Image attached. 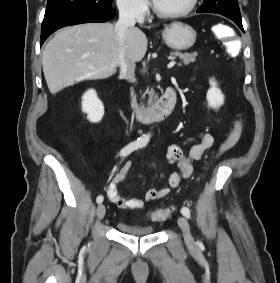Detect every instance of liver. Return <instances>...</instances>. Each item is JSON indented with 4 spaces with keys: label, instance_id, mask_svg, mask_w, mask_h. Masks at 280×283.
Masks as SVG:
<instances>
[{
    "label": "liver",
    "instance_id": "obj_1",
    "mask_svg": "<svg viewBox=\"0 0 280 283\" xmlns=\"http://www.w3.org/2000/svg\"><path fill=\"white\" fill-rule=\"evenodd\" d=\"M147 37L137 27L126 35L124 52L130 62H140ZM118 41L111 23H87L60 30L43 51L42 67L52 94L83 80L105 79L117 71Z\"/></svg>",
    "mask_w": 280,
    "mask_h": 283
}]
</instances>
